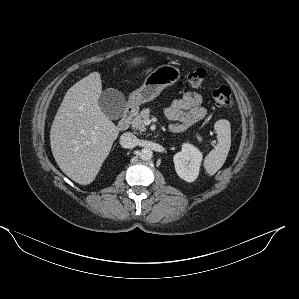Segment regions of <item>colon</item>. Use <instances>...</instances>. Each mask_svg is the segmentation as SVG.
Segmentation results:
<instances>
[{
    "mask_svg": "<svg viewBox=\"0 0 299 299\" xmlns=\"http://www.w3.org/2000/svg\"><path fill=\"white\" fill-rule=\"evenodd\" d=\"M205 78L206 71L202 68L192 70L187 75V80L193 87L202 86ZM211 95L214 101L221 105H229L233 100L231 89L225 85L214 88Z\"/></svg>",
    "mask_w": 299,
    "mask_h": 299,
    "instance_id": "colon-1",
    "label": "colon"
}]
</instances>
